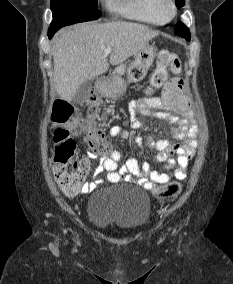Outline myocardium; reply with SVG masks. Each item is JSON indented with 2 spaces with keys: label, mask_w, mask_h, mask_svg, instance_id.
<instances>
[{
  "label": "myocardium",
  "mask_w": 233,
  "mask_h": 284,
  "mask_svg": "<svg viewBox=\"0 0 233 284\" xmlns=\"http://www.w3.org/2000/svg\"><path fill=\"white\" fill-rule=\"evenodd\" d=\"M158 13L167 22L177 14V7L174 0H159Z\"/></svg>",
  "instance_id": "f54148a6"
}]
</instances>
